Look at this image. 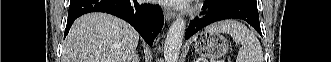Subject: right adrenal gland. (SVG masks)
I'll use <instances>...</instances> for the list:
<instances>
[{
  "mask_svg": "<svg viewBox=\"0 0 331 62\" xmlns=\"http://www.w3.org/2000/svg\"><path fill=\"white\" fill-rule=\"evenodd\" d=\"M132 62H140L138 54L134 53Z\"/></svg>",
  "mask_w": 331,
  "mask_h": 62,
  "instance_id": "2a0ac1e0",
  "label": "right adrenal gland"
}]
</instances>
